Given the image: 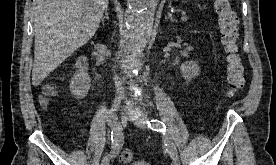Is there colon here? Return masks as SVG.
<instances>
[{
  "label": "colon",
  "mask_w": 276,
  "mask_h": 165,
  "mask_svg": "<svg viewBox=\"0 0 276 165\" xmlns=\"http://www.w3.org/2000/svg\"><path fill=\"white\" fill-rule=\"evenodd\" d=\"M214 9L226 58L227 96L233 97L246 82L245 68L238 47V17L228 0H215ZM56 95L54 86L48 85L45 88L43 104L46 105L48 100ZM119 159L122 163H130L134 159V152L131 149H124Z\"/></svg>",
  "instance_id": "1"
}]
</instances>
